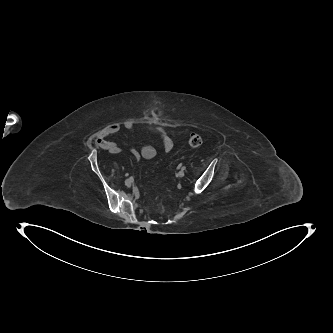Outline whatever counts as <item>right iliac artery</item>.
I'll use <instances>...</instances> for the list:
<instances>
[{
    "label": "right iliac artery",
    "instance_id": "82829eb1",
    "mask_svg": "<svg viewBox=\"0 0 333 333\" xmlns=\"http://www.w3.org/2000/svg\"><path fill=\"white\" fill-rule=\"evenodd\" d=\"M125 176H129V174H128V173H126V174H125ZM125 184L127 185V184H128V182H126V181H125Z\"/></svg>",
    "mask_w": 333,
    "mask_h": 333
}]
</instances>
